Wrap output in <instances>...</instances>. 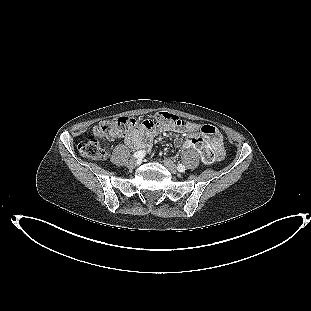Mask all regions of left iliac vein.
I'll return each mask as SVG.
<instances>
[{
	"instance_id": "left-iliac-vein-1",
	"label": "left iliac vein",
	"mask_w": 311,
	"mask_h": 311,
	"mask_svg": "<svg viewBox=\"0 0 311 311\" xmlns=\"http://www.w3.org/2000/svg\"><path fill=\"white\" fill-rule=\"evenodd\" d=\"M163 164L165 165V167L172 173V174H176L177 173V168L175 166V164L173 163V161L169 158H165L163 160Z\"/></svg>"
}]
</instances>
